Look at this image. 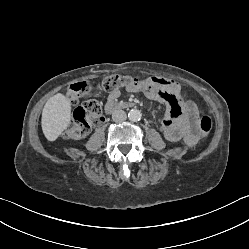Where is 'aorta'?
<instances>
[{
	"instance_id": "obj_1",
	"label": "aorta",
	"mask_w": 249,
	"mask_h": 249,
	"mask_svg": "<svg viewBox=\"0 0 249 249\" xmlns=\"http://www.w3.org/2000/svg\"><path fill=\"white\" fill-rule=\"evenodd\" d=\"M141 111L138 109H131L128 113V118L130 121L136 122L141 119Z\"/></svg>"
}]
</instances>
